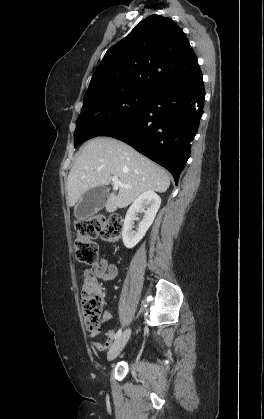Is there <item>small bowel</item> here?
Wrapping results in <instances>:
<instances>
[{
	"label": "small bowel",
	"mask_w": 264,
	"mask_h": 419,
	"mask_svg": "<svg viewBox=\"0 0 264 419\" xmlns=\"http://www.w3.org/2000/svg\"><path fill=\"white\" fill-rule=\"evenodd\" d=\"M117 275V266L114 263H110L106 258H101L94 263L91 268L83 271V279H93L96 282L99 281H110ZM111 319V313L105 311L102 316V322L106 323ZM99 332H91L90 337L94 340L93 344L99 351L108 350L115 339V331L113 329H107L104 333V340H97Z\"/></svg>",
	"instance_id": "obj_1"
}]
</instances>
